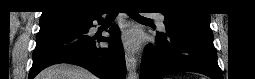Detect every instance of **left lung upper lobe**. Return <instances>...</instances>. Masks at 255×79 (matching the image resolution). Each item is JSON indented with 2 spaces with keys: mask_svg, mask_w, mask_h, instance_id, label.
I'll use <instances>...</instances> for the list:
<instances>
[{
  "mask_svg": "<svg viewBox=\"0 0 255 79\" xmlns=\"http://www.w3.org/2000/svg\"><path fill=\"white\" fill-rule=\"evenodd\" d=\"M159 8L165 16L166 32L180 28H206L210 29V15L201 12H183L181 3L174 0L159 1ZM159 35H164L158 33Z\"/></svg>",
  "mask_w": 255,
  "mask_h": 79,
  "instance_id": "1",
  "label": "left lung upper lobe"
}]
</instances>
